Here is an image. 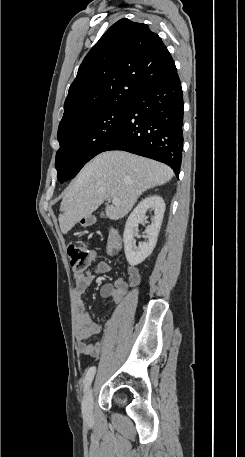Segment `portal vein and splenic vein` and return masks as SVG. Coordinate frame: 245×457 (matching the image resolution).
<instances>
[{"instance_id": "obj_1", "label": "portal vein and splenic vein", "mask_w": 245, "mask_h": 457, "mask_svg": "<svg viewBox=\"0 0 245 457\" xmlns=\"http://www.w3.org/2000/svg\"><path fill=\"white\" fill-rule=\"evenodd\" d=\"M112 204H119V198H112Z\"/></svg>"}]
</instances>
